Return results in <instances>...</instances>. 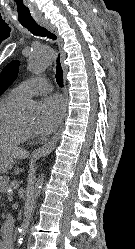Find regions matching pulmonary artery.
Returning a JSON list of instances; mask_svg holds the SVG:
<instances>
[{"label":"pulmonary artery","instance_id":"obj_1","mask_svg":"<svg viewBox=\"0 0 135 249\" xmlns=\"http://www.w3.org/2000/svg\"><path fill=\"white\" fill-rule=\"evenodd\" d=\"M52 91V86L43 77H35L17 85L12 92L21 99L35 95L46 94Z\"/></svg>","mask_w":135,"mask_h":249}]
</instances>
